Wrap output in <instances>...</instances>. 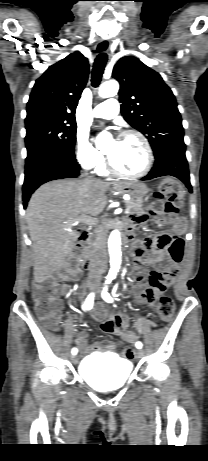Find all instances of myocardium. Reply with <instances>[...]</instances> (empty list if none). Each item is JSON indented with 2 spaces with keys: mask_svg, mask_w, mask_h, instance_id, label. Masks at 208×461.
Masks as SVG:
<instances>
[{
  "mask_svg": "<svg viewBox=\"0 0 208 461\" xmlns=\"http://www.w3.org/2000/svg\"><path fill=\"white\" fill-rule=\"evenodd\" d=\"M129 136H134L136 138H138L142 145L144 146V150L146 152V164L144 166V168L138 172V173H135V174H128V173H124V172H121L119 171L115 166L114 164L112 163L109 155L107 153H105V156H106V168L107 170L115 175V176H118V177H121V178H125V179H138V178H142L144 176H146L152 166H153V162H154V155H153V150H152V147L148 141V139L139 131L137 130H125L123 132H121V134L119 135V138L120 137H129Z\"/></svg>",
  "mask_w": 208,
  "mask_h": 461,
  "instance_id": "1",
  "label": "myocardium"
}]
</instances>
